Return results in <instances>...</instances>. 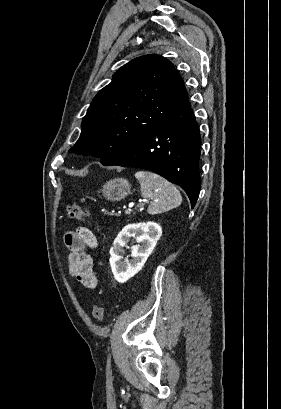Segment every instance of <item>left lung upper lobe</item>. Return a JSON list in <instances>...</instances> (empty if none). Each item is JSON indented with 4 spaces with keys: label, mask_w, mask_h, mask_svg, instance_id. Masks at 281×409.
Returning a JSON list of instances; mask_svg holds the SVG:
<instances>
[{
    "label": "left lung upper lobe",
    "mask_w": 281,
    "mask_h": 409,
    "mask_svg": "<svg viewBox=\"0 0 281 409\" xmlns=\"http://www.w3.org/2000/svg\"><path fill=\"white\" fill-rule=\"evenodd\" d=\"M188 100L173 64L145 55L122 66L98 92L82 121L71 153L101 157L106 165Z\"/></svg>",
    "instance_id": "5c2ea615"
}]
</instances>
